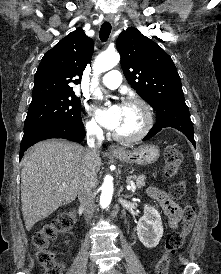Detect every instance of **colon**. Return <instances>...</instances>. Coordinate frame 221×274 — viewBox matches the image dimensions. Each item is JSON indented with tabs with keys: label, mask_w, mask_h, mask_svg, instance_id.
I'll list each match as a JSON object with an SVG mask.
<instances>
[{
	"label": "colon",
	"mask_w": 221,
	"mask_h": 274,
	"mask_svg": "<svg viewBox=\"0 0 221 274\" xmlns=\"http://www.w3.org/2000/svg\"><path fill=\"white\" fill-rule=\"evenodd\" d=\"M164 175L173 177L180 166L182 156L174 145H168L164 151ZM185 193V184L182 181L170 186V196L174 199L181 198ZM74 212H65L53 221L43 225L32 235V244L36 249L37 261L44 267L45 274H63V266L55 258L50 249V242L58 235L69 231L74 223ZM195 220V208L187 205L183 210V223L180 231L171 232L165 242V251L158 260L155 274H167L171 255L180 249L191 232Z\"/></svg>",
	"instance_id": "obj_1"
}]
</instances>
